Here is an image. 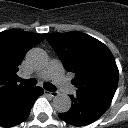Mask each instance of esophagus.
I'll use <instances>...</instances> for the list:
<instances>
[{
    "label": "esophagus",
    "instance_id": "esophagus-1",
    "mask_svg": "<svg viewBox=\"0 0 128 128\" xmlns=\"http://www.w3.org/2000/svg\"><path fill=\"white\" fill-rule=\"evenodd\" d=\"M45 94L48 95V96H51V97H56L58 92H55V91H53V92L45 91Z\"/></svg>",
    "mask_w": 128,
    "mask_h": 128
}]
</instances>
